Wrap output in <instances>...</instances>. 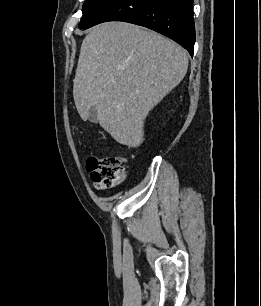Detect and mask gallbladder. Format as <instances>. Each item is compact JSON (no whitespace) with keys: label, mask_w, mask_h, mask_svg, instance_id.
<instances>
[{"label":"gallbladder","mask_w":261,"mask_h":306,"mask_svg":"<svg viewBox=\"0 0 261 306\" xmlns=\"http://www.w3.org/2000/svg\"><path fill=\"white\" fill-rule=\"evenodd\" d=\"M88 119L90 122L97 123L98 117H97V109L95 106H92L89 110V116Z\"/></svg>","instance_id":"bac80fb5"}]
</instances>
